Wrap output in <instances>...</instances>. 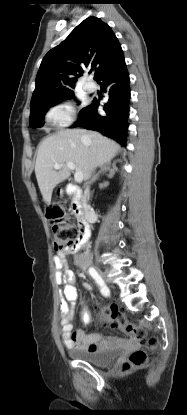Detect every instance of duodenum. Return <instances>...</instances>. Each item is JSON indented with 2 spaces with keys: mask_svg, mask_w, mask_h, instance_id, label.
<instances>
[{
  "mask_svg": "<svg viewBox=\"0 0 187 415\" xmlns=\"http://www.w3.org/2000/svg\"><path fill=\"white\" fill-rule=\"evenodd\" d=\"M66 194L70 197V206L75 215L80 217V241L85 242L90 235V222L95 218V214L85 208L82 204V192L75 185L66 188Z\"/></svg>",
  "mask_w": 187,
  "mask_h": 415,
  "instance_id": "obj_1",
  "label": "duodenum"
}]
</instances>
